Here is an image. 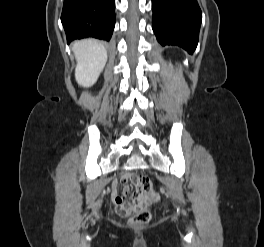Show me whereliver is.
Here are the masks:
<instances>
[{
    "instance_id": "liver-1",
    "label": "liver",
    "mask_w": 264,
    "mask_h": 247,
    "mask_svg": "<svg viewBox=\"0 0 264 247\" xmlns=\"http://www.w3.org/2000/svg\"><path fill=\"white\" fill-rule=\"evenodd\" d=\"M72 49L77 60L76 81L83 87L94 85L107 62L104 45L96 40L86 39L75 42Z\"/></svg>"
}]
</instances>
